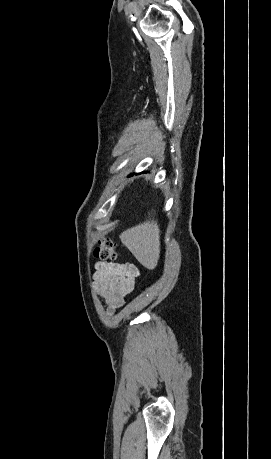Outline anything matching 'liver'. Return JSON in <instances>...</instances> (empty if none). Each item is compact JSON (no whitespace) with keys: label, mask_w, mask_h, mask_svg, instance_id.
Instances as JSON below:
<instances>
[{"label":"liver","mask_w":271,"mask_h":459,"mask_svg":"<svg viewBox=\"0 0 271 459\" xmlns=\"http://www.w3.org/2000/svg\"><path fill=\"white\" fill-rule=\"evenodd\" d=\"M159 233L157 222L151 220L122 231L120 239L144 267L154 269L160 257Z\"/></svg>","instance_id":"1"}]
</instances>
